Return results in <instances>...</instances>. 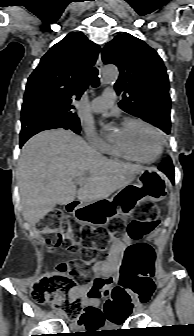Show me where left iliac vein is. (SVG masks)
<instances>
[{"mask_svg":"<svg viewBox=\"0 0 194 336\" xmlns=\"http://www.w3.org/2000/svg\"><path fill=\"white\" fill-rule=\"evenodd\" d=\"M141 311V308L140 307H137L136 308V313H139Z\"/></svg>","mask_w":194,"mask_h":336,"instance_id":"obj_1","label":"left iliac vein"}]
</instances>
